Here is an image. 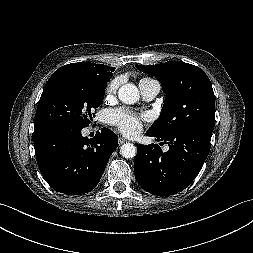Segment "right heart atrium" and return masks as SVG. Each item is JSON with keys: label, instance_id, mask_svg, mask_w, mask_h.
Returning <instances> with one entry per match:
<instances>
[{"label": "right heart atrium", "instance_id": "1", "mask_svg": "<svg viewBox=\"0 0 253 253\" xmlns=\"http://www.w3.org/2000/svg\"><path fill=\"white\" fill-rule=\"evenodd\" d=\"M120 79L115 78L112 81H110L106 87V96L107 97H112L116 94L119 86H120Z\"/></svg>", "mask_w": 253, "mask_h": 253}]
</instances>
